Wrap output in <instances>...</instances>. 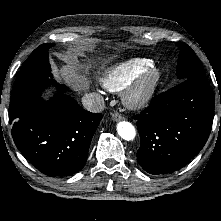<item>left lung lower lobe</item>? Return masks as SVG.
Returning <instances> with one entry per match:
<instances>
[{
	"label": "left lung lower lobe",
	"instance_id": "0a47b994",
	"mask_svg": "<svg viewBox=\"0 0 221 221\" xmlns=\"http://www.w3.org/2000/svg\"><path fill=\"white\" fill-rule=\"evenodd\" d=\"M215 95L204 78H189L156 96L134 116L141 138L137 159L151 174L184 167L206 143L214 114Z\"/></svg>",
	"mask_w": 221,
	"mask_h": 221
}]
</instances>
